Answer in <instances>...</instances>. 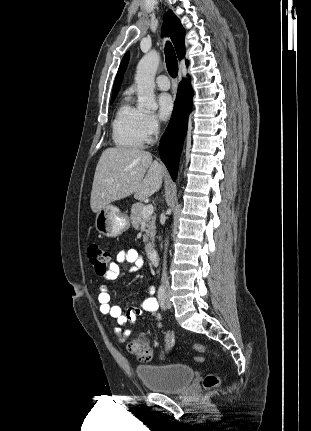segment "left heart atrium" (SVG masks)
I'll list each match as a JSON object with an SVG mask.
<instances>
[{
	"instance_id": "left-heart-atrium-1",
	"label": "left heart atrium",
	"mask_w": 311,
	"mask_h": 431,
	"mask_svg": "<svg viewBox=\"0 0 311 431\" xmlns=\"http://www.w3.org/2000/svg\"><path fill=\"white\" fill-rule=\"evenodd\" d=\"M158 107L161 119H170L175 110V102L173 97L168 93L161 94L158 98Z\"/></svg>"
}]
</instances>
